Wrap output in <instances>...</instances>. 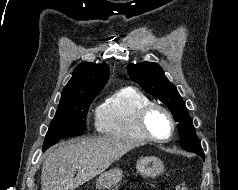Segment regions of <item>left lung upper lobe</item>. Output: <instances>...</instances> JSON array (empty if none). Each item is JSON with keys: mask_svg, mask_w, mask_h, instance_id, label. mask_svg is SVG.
I'll return each mask as SVG.
<instances>
[{"mask_svg": "<svg viewBox=\"0 0 238 190\" xmlns=\"http://www.w3.org/2000/svg\"><path fill=\"white\" fill-rule=\"evenodd\" d=\"M127 71L133 81L147 93L162 101L171 111L175 121L178 122L181 147L197 153L204 159V152L187 108L176 87L164 75L163 69L156 63L143 62L129 64Z\"/></svg>", "mask_w": 238, "mask_h": 190, "instance_id": "5c2ea615", "label": "left lung upper lobe"}]
</instances>
